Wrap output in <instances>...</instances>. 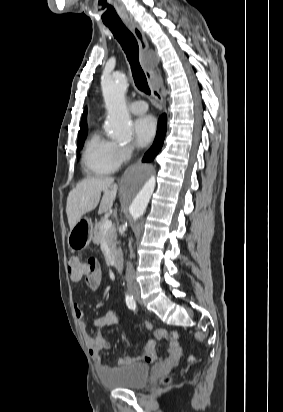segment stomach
<instances>
[{"label": "stomach", "mask_w": 283, "mask_h": 412, "mask_svg": "<svg viewBox=\"0 0 283 412\" xmlns=\"http://www.w3.org/2000/svg\"><path fill=\"white\" fill-rule=\"evenodd\" d=\"M93 234V224L90 219H81L70 230L68 235V246L72 250H82L86 248Z\"/></svg>", "instance_id": "obj_1"}]
</instances>
